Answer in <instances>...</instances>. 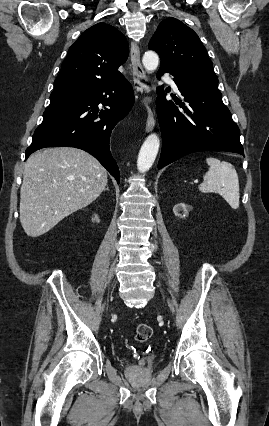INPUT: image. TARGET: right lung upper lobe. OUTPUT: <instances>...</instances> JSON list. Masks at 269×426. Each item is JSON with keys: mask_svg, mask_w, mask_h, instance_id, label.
<instances>
[{"mask_svg": "<svg viewBox=\"0 0 269 426\" xmlns=\"http://www.w3.org/2000/svg\"><path fill=\"white\" fill-rule=\"evenodd\" d=\"M129 53L125 36L113 26L98 23L84 31L70 47L53 92L85 90L118 83V71Z\"/></svg>", "mask_w": 269, "mask_h": 426, "instance_id": "obj_1", "label": "right lung upper lobe"}]
</instances>
